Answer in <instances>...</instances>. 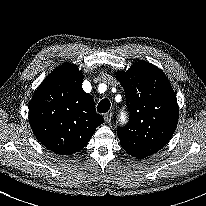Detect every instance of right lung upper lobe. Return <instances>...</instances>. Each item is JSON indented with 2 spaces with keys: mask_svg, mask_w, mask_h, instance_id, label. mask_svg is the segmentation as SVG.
Wrapping results in <instances>:
<instances>
[{
  "mask_svg": "<svg viewBox=\"0 0 206 206\" xmlns=\"http://www.w3.org/2000/svg\"><path fill=\"white\" fill-rule=\"evenodd\" d=\"M82 82L78 67L64 63L46 77L30 101L28 118L33 133L57 154L70 155L84 148L104 122Z\"/></svg>",
  "mask_w": 206,
  "mask_h": 206,
  "instance_id": "1",
  "label": "right lung upper lobe"
}]
</instances>
